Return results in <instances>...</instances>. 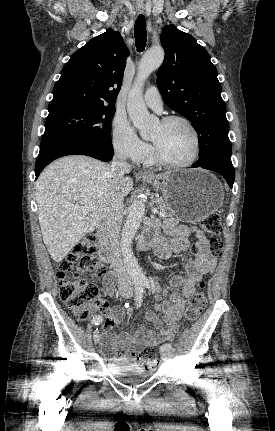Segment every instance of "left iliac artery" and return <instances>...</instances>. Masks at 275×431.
Returning a JSON list of instances; mask_svg holds the SVG:
<instances>
[{"mask_svg": "<svg viewBox=\"0 0 275 431\" xmlns=\"http://www.w3.org/2000/svg\"><path fill=\"white\" fill-rule=\"evenodd\" d=\"M143 285L146 288H150V282L147 279L143 281ZM165 350H172V345L170 343H166L160 347L161 352Z\"/></svg>", "mask_w": 275, "mask_h": 431, "instance_id": "1", "label": "left iliac artery"}]
</instances>
